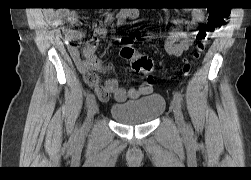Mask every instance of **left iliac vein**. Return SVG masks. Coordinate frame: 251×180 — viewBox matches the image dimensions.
I'll list each match as a JSON object with an SVG mask.
<instances>
[{
	"label": "left iliac vein",
	"instance_id": "4c4485c4",
	"mask_svg": "<svg viewBox=\"0 0 251 180\" xmlns=\"http://www.w3.org/2000/svg\"><path fill=\"white\" fill-rule=\"evenodd\" d=\"M171 107H172L175 121H176L178 127L180 129L184 130L185 129V121H184V117H183V114L181 111L180 104L175 99H173L171 101Z\"/></svg>",
	"mask_w": 251,
	"mask_h": 180
}]
</instances>
